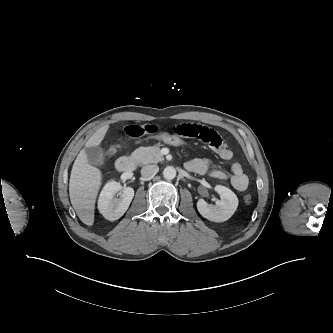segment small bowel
Listing matches in <instances>:
<instances>
[{
	"instance_id": "small-bowel-1",
	"label": "small bowel",
	"mask_w": 333,
	"mask_h": 333,
	"mask_svg": "<svg viewBox=\"0 0 333 333\" xmlns=\"http://www.w3.org/2000/svg\"><path fill=\"white\" fill-rule=\"evenodd\" d=\"M124 130L131 137H142L159 133L160 127L155 124H130ZM171 130L173 134L183 138H194L205 142L223 160H230L233 156L231 149L221 136L215 130L202 124L180 121L175 123ZM185 167L197 174H207L211 178L228 181L238 191L246 190L249 184L248 176L244 173L241 164L237 162L232 164L230 172L212 167L211 162L203 158L189 160Z\"/></svg>"
}]
</instances>
